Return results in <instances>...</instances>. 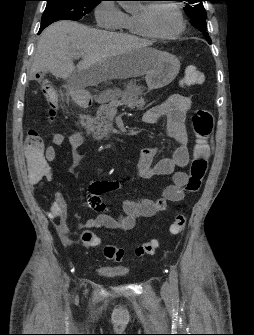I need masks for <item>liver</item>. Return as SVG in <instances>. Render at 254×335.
Here are the masks:
<instances>
[{
  "instance_id": "1",
  "label": "liver",
  "mask_w": 254,
  "mask_h": 335,
  "mask_svg": "<svg viewBox=\"0 0 254 335\" xmlns=\"http://www.w3.org/2000/svg\"><path fill=\"white\" fill-rule=\"evenodd\" d=\"M149 44L132 35L58 21L38 40L30 78L49 71L57 78H71L80 86H95L111 79L142 76L154 64ZM78 53L82 60L75 66L73 59Z\"/></svg>"
}]
</instances>
